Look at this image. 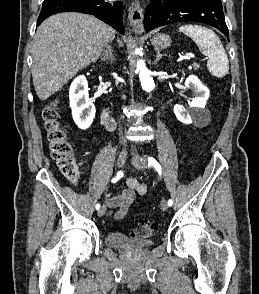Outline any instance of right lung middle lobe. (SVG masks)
Segmentation results:
<instances>
[{
    "mask_svg": "<svg viewBox=\"0 0 259 294\" xmlns=\"http://www.w3.org/2000/svg\"><path fill=\"white\" fill-rule=\"evenodd\" d=\"M47 1H49V0H44V2H47Z\"/></svg>",
    "mask_w": 259,
    "mask_h": 294,
    "instance_id": "1",
    "label": "right lung middle lobe"
}]
</instances>
